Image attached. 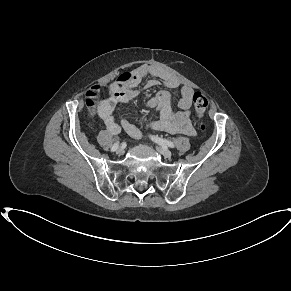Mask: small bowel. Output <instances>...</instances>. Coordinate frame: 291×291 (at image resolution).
Segmentation results:
<instances>
[{
    "mask_svg": "<svg viewBox=\"0 0 291 291\" xmlns=\"http://www.w3.org/2000/svg\"><path fill=\"white\" fill-rule=\"evenodd\" d=\"M150 76L146 83L148 87L163 83L168 90L160 91L147 103V108H155L159 112L156 120H145V124L155 131H164L171 134L182 133L188 136H194L195 130L190 123V108L192 104L193 89L190 86L183 85L178 97V111L172 109V93L180 85L179 80L157 64H144L136 68L126 79H120L109 85L110 96L106 99H99L101 87L95 85L89 91L97 92V96L92 99L95 102V112L107 130L112 134H117L123 129L128 135L135 139H141L143 133L126 119L117 122L114 116V110L117 105L132 101L136 95L135 87L141 80Z\"/></svg>",
    "mask_w": 291,
    "mask_h": 291,
    "instance_id": "c3829d8e",
    "label": "small bowel"
}]
</instances>
